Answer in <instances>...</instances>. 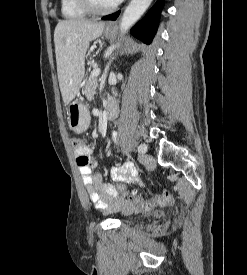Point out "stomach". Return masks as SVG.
<instances>
[{
    "instance_id": "obj_1",
    "label": "stomach",
    "mask_w": 247,
    "mask_h": 275,
    "mask_svg": "<svg viewBox=\"0 0 247 275\" xmlns=\"http://www.w3.org/2000/svg\"><path fill=\"white\" fill-rule=\"evenodd\" d=\"M105 37L110 38L113 31L106 29ZM69 127L75 132H84L90 123V113L86 105L79 99L71 102L67 107Z\"/></svg>"
}]
</instances>
